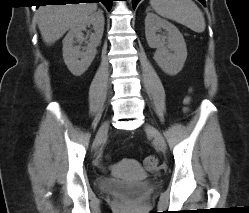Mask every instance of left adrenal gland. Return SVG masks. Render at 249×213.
Instances as JSON below:
<instances>
[{"mask_svg":"<svg viewBox=\"0 0 249 213\" xmlns=\"http://www.w3.org/2000/svg\"><path fill=\"white\" fill-rule=\"evenodd\" d=\"M149 9H150V8H147L146 12H148V11H149Z\"/></svg>","mask_w":249,"mask_h":213,"instance_id":"a2214340","label":"left adrenal gland"}]
</instances>
